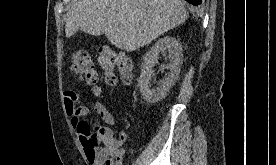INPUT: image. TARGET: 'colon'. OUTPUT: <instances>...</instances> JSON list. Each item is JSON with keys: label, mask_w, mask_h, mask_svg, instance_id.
I'll use <instances>...</instances> for the list:
<instances>
[{"label": "colon", "mask_w": 276, "mask_h": 165, "mask_svg": "<svg viewBox=\"0 0 276 165\" xmlns=\"http://www.w3.org/2000/svg\"><path fill=\"white\" fill-rule=\"evenodd\" d=\"M71 59L73 72L83 82L93 86L95 91L99 92L100 89L97 86L99 77L91 55L85 51H76L72 54ZM98 62L104 73L105 83L108 86L116 84L118 75L124 82H130L131 63L122 52L107 46L101 47L98 53ZM80 129L89 138V145H93L95 143V134H91L90 128L85 121L80 123Z\"/></svg>", "instance_id": "colon-1"}]
</instances>
